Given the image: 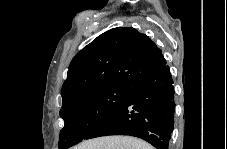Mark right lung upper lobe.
I'll list each match as a JSON object with an SVG mask.
<instances>
[{"label": "right lung upper lobe", "instance_id": "cb5924a9", "mask_svg": "<svg viewBox=\"0 0 227 149\" xmlns=\"http://www.w3.org/2000/svg\"><path fill=\"white\" fill-rule=\"evenodd\" d=\"M165 65L161 50L147 35L132 27L108 30L71 61L61 89L62 108L104 86L131 87Z\"/></svg>", "mask_w": 227, "mask_h": 149}]
</instances>
